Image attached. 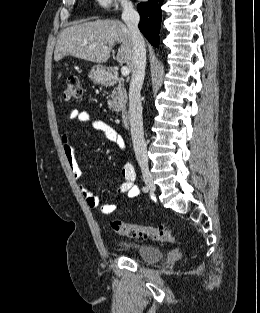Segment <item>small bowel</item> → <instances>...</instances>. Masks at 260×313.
<instances>
[{"label": "small bowel", "mask_w": 260, "mask_h": 313, "mask_svg": "<svg viewBox=\"0 0 260 313\" xmlns=\"http://www.w3.org/2000/svg\"><path fill=\"white\" fill-rule=\"evenodd\" d=\"M69 118L71 120H78L80 122L89 123L92 128L101 132L107 140L114 142L119 147V149H124L125 143L119 133L106 122L97 118H93L89 112L73 109L69 114ZM61 141L63 144V153L68 167L72 173V176L78 180L81 178L82 172L76 160L74 148L70 144V135L67 131L62 134ZM122 177L123 180L118 188V192L127 195L130 199L135 198L138 195L137 187L135 186L136 174L133 166L129 162H125L122 166ZM78 188L90 208H100L103 214H110L114 211V203H106L101 205L98 197L95 196L86 185L79 184Z\"/></svg>", "instance_id": "small-bowel-1"}]
</instances>
